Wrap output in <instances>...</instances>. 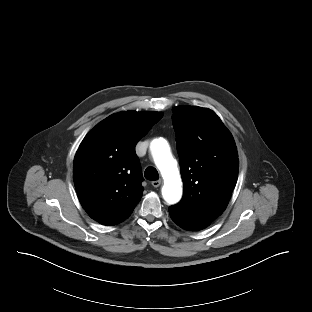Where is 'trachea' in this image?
<instances>
[{
	"label": "trachea",
	"instance_id": "3493384b",
	"mask_svg": "<svg viewBox=\"0 0 312 312\" xmlns=\"http://www.w3.org/2000/svg\"><path fill=\"white\" fill-rule=\"evenodd\" d=\"M144 176L147 180L155 181L158 180L159 174L158 171L154 167H148L146 168L144 172Z\"/></svg>",
	"mask_w": 312,
	"mask_h": 312
}]
</instances>
